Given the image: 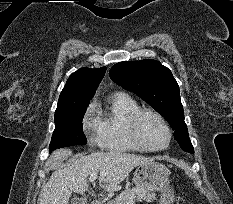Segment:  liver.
Segmentation results:
<instances>
[{
    "instance_id": "1",
    "label": "liver",
    "mask_w": 233,
    "mask_h": 204,
    "mask_svg": "<svg viewBox=\"0 0 233 204\" xmlns=\"http://www.w3.org/2000/svg\"><path fill=\"white\" fill-rule=\"evenodd\" d=\"M68 149H58L50 156V163L61 166L71 156ZM153 159L117 151L95 152L80 157L66 167L54 171L39 195L38 204H69L72 192L88 189L87 177L100 172L99 183L108 191L121 188V183L136 167Z\"/></svg>"
}]
</instances>
